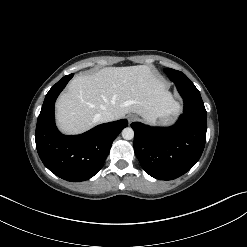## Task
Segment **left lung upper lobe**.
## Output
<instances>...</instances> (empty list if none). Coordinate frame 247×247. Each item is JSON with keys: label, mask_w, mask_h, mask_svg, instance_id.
I'll list each match as a JSON object with an SVG mask.
<instances>
[{"label": "left lung upper lobe", "mask_w": 247, "mask_h": 247, "mask_svg": "<svg viewBox=\"0 0 247 247\" xmlns=\"http://www.w3.org/2000/svg\"><path fill=\"white\" fill-rule=\"evenodd\" d=\"M167 76L173 81V82H191L186 75H184L182 72L166 68L164 69Z\"/></svg>", "instance_id": "left-lung-upper-lobe-1"}]
</instances>
